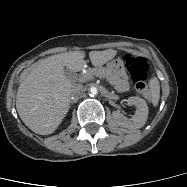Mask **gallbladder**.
Masks as SVG:
<instances>
[{
    "label": "gallbladder",
    "instance_id": "bac80fb5",
    "mask_svg": "<svg viewBox=\"0 0 187 187\" xmlns=\"http://www.w3.org/2000/svg\"><path fill=\"white\" fill-rule=\"evenodd\" d=\"M65 74H66V76H67L68 78H72V76H73V72H71L70 70H68V69H66V68H65Z\"/></svg>",
    "mask_w": 187,
    "mask_h": 187
}]
</instances>
